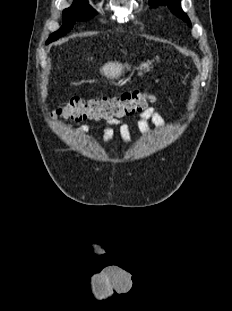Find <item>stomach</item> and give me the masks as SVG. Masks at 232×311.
<instances>
[{
  "mask_svg": "<svg viewBox=\"0 0 232 311\" xmlns=\"http://www.w3.org/2000/svg\"><path fill=\"white\" fill-rule=\"evenodd\" d=\"M153 66V62L150 60L142 62L138 67V73L139 75H143L144 73H147Z\"/></svg>",
  "mask_w": 232,
  "mask_h": 311,
  "instance_id": "1",
  "label": "stomach"
}]
</instances>
